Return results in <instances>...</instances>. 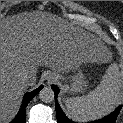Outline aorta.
Returning <instances> with one entry per match:
<instances>
[{
	"instance_id": "aorta-1",
	"label": "aorta",
	"mask_w": 123,
	"mask_h": 123,
	"mask_svg": "<svg viewBox=\"0 0 123 123\" xmlns=\"http://www.w3.org/2000/svg\"><path fill=\"white\" fill-rule=\"evenodd\" d=\"M39 98L44 103H49L54 100V91L50 87H44L39 92Z\"/></svg>"
}]
</instances>
